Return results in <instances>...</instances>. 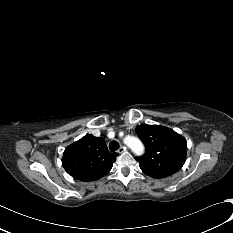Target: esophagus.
<instances>
[{
    "instance_id": "esophagus-1",
    "label": "esophagus",
    "mask_w": 233,
    "mask_h": 233,
    "mask_svg": "<svg viewBox=\"0 0 233 233\" xmlns=\"http://www.w3.org/2000/svg\"><path fill=\"white\" fill-rule=\"evenodd\" d=\"M126 151V147H123V146H121L119 149H118V153L119 154H122L123 152H125Z\"/></svg>"
}]
</instances>
